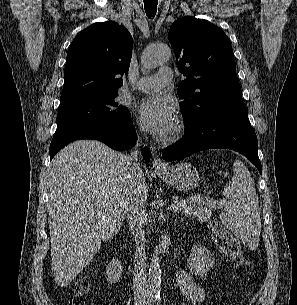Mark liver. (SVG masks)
Segmentation results:
<instances>
[{
	"instance_id": "obj_1",
	"label": "liver",
	"mask_w": 297,
	"mask_h": 305,
	"mask_svg": "<svg viewBox=\"0 0 297 305\" xmlns=\"http://www.w3.org/2000/svg\"><path fill=\"white\" fill-rule=\"evenodd\" d=\"M125 155L95 140H78L53 158L48 172V216L52 271L65 287L118 233L125 218L129 188ZM137 188L144 202L142 173Z\"/></svg>"
}]
</instances>
